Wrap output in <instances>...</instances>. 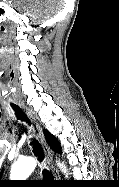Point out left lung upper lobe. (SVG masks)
Wrapping results in <instances>:
<instances>
[{"mask_svg": "<svg viewBox=\"0 0 119 187\" xmlns=\"http://www.w3.org/2000/svg\"><path fill=\"white\" fill-rule=\"evenodd\" d=\"M45 137L50 147L55 152L60 153L61 150H60V146H59L57 139L53 135H51L48 131H45ZM0 179H1V173H0ZM4 183H6V181L0 180V184H4Z\"/></svg>", "mask_w": 119, "mask_h": 187, "instance_id": "5c2ea615", "label": "left lung upper lobe"}]
</instances>
